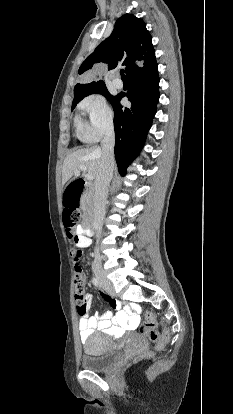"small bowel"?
I'll list each match as a JSON object with an SVG mask.
<instances>
[{
    "label": "small bowel",
    "instance_id": "c3829d8e",
    "mask_svg": "<svg viewBox=\"0 0 233 414\" xmlns=\"http://www.w3.org/2000/svg\"><path fill=\"white\" fill-rule=\"evenodd\" d=\"M76 243L80 248H87L91 245V240L83 235L81 231L76 232ZM73 269L75 275L81 274V266L78 257H73ZM102 296L108 304L116 309L118 312L113 317L111 311H106L100 316L89 317L88 312L91 310L92 296L86 295V302L83 305H77L76 311L81 312L79 315V330L80 338L84 343L95 329L99 328L105 333L120 335L126 330H134L139 324V306L136 301L129 300L128 302L117 301L116 299L102 293ZM122 307H125L124 309Z\"/></svg>",
    "mask_w": 233,
    "mask_h": 414
}]
</instances>
